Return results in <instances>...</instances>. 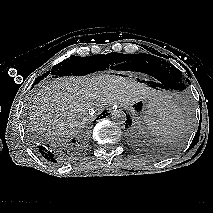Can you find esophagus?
I'll return each mask as SVG.
<instances>
[{
    "label": "esophagus",
    "instance_id": "34e87169",
    "mask_svg": "<svg viewBox=\"0 0 213 213\" xmlns=\"http://www.w3.org/2000/svg\"><path fill=\"white\" fill-rule=\"evenodd\" d=\"M115 110H116V108L113 107V108H112V111H115Z\"/></svg>",
    "mask_w": 213,
    "mask_h": 213
}]
</instances>
